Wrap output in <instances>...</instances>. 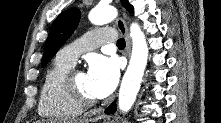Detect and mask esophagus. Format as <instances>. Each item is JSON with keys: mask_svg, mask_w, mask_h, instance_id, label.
I'll return each instance as SVG.
<instances>
[{"mask_svg": "<svg viewBox=\"0 0 221 123\" xmlns=\"http://www.w3.org/2000/svg\"><path fill=\"white\" fill-rule=\"evenodd\" d=\"M116 25L120 33L124 36L125 41H126V55L130 56V51H131V41H130V36L127 28V24L125 22V19L123 17H119L116 20Z\"/></svg>", "mask_w": 221, "mask_h": 123, "instance_id": "1", "label": "esophagus"}]
</instances>
